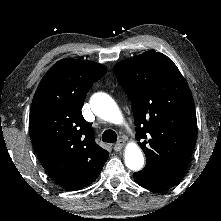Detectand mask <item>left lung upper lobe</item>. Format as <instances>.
Here are the masks:
<instances>
[{"mask_svg": "<svg viewBox=\"0 0 221 221\" xmlns=\"http://www.w3.org/2000/svg\"><path fill=\"white\" fill-rule=\"evenodd\" d=\"M114 73L128 95L137 141L146 156L138 173L183 176L197 138L191 91L172 60L153 50L117 63Z\"/></svg>", "mask_w": 221, "mask_h": 221, "instance_id": "5c2ea615", "label": "left lung upper lobe"}]
</instances>
